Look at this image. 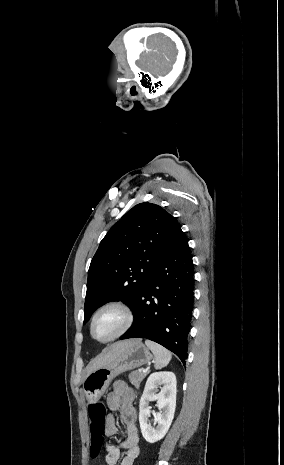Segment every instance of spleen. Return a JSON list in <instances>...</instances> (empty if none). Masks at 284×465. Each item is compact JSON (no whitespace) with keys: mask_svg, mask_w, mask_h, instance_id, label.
I'll list each match as a JSON object with an SVG mask.
<instances>
[{"mask_svg":"<svg viewBox=\"0 0 284 465\" xmlns=\"http://www.w3.org/2000/svg\"><path fill=\"white\" fill-rule=\"evenodd\" d=\"M145 345H147L148 349L152 351L155 357V369L167 367L172 359L170 351H167V349H164L161 345H157V343H153V341H145Z\"/></svg>","mask_w":284,"mask_h":465,"instance_id":"1","label":"spleen"}]
</instances>
